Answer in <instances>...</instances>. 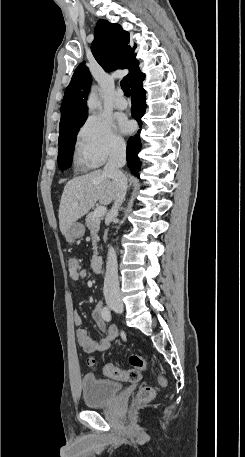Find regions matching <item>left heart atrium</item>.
Wrapping results in <instances>:
<instances>
[{
  "instance_id": "left-heart-atrium-1",
  "label": "left heart atrium",
  "mask_w": 245,
  "mask_h": 457,
  "mask_svg": "<svg viewBox=\"0 0 245 457\" xmlns=\"http://www.w3.org/2000/svg\"><path fill=\"white\" fill-rule=\"evenodd\" d=\"M119 125L123 132H128L131 128V124L127 121H120Z\"/></svg>"
}]
</instances>
